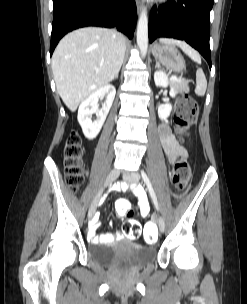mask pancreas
<instances>
[{
    "label": "pancreas",
    "instance_id": "cf45deb5",
    "mask_svg": "<svg viewBox=\"0 0 247 304\" xmlns=\"http://www.w3.org/2000/svg\"><path fill=\"white\" fill-rule=\"evenodd\" d=\"M172 84L181 92L189 93L190 91L188 81H186L185 79H178L176 81H172Z\"/></svg>",
    "mask_w": 247,
    "mask_h": 304
}]
</instances>
